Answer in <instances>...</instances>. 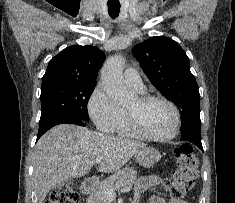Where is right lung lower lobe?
Returning <instances> with one entry per match:
<instances>
[{
	"label": "right lung lower lobe",
	"mask_w": 235,
	"mask_h": 203,
	"mask_svg": "<svg viewBox=\"0 0 235 203\" xmlns=\"http://www.w3.org/2000/svg\"><path fill=\"white\" fill-rule=\"evenodd\" d=\"M67 123V124H76L80 126H85L84 121L76 119V118H70V117H64V118H56L53 120H50L48 122H45L43 124H39V131L37 140L50 128H52L55 125Z\"/></svg>",
	"instance_id": "right-lung-lower-lobe-1"
}]
</instances>
